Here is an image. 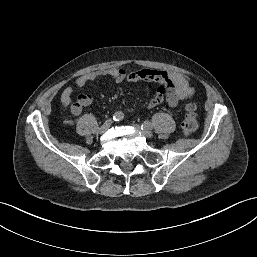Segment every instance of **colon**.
Wrapping results in <instances>:
<instances>
[{"label": "colon", "mask_w": 257, "mask_h": 257, "mask_svg": "<svg viewBox=\"0 0 257 257\" xmlns=\"http://www.w3.org/2000/svg\"><path fill=\"white\" fill-rule=\"evenodd\" d=\"M197 127L198 120L195 112V105L189 103L186 108V113L183 122L181 124V129L185 135H191L197 130Z\"/></svg>", "instance_id": "5ec220e1"}]
</instances>
